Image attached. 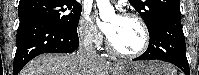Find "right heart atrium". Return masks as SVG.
<instances>
[{
  "instance_id": "obj_1",
  "label": "right heart atrium",
  "mask_w": 199,
  "mask_h": 75,
  "mask_svg": "<svg viewBox=\"0 0 199 75\" xmlns=\"http://www.w3.org/2000/svg\"><path fill=\"white\" fill-rule=\"evenodd\" d=\"M81 39L92 47H97L102 41V35L99 32L96 22L88 14L84 13L78 27Z\"/></svg>"
}]
</instances>
